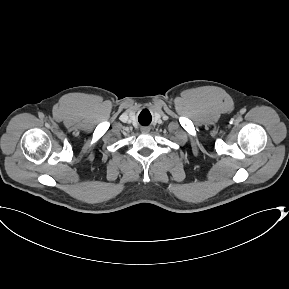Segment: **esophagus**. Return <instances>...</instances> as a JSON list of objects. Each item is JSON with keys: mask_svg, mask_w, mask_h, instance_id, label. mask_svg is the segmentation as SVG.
I'll return each mask as SVG.
<instances>
[{"mask_svg": "<svg viewBox=\"0 0 289 289\" xmlns=\"http://www.w3.org/2000/svg\"><path fill=\"white\" fill-rule=\"evenodd\" d=\"M141 131H142L143 133H148V132L150 131V128H149V127H142V128H141Z\"/></svg>", "mask_w": 289, "mask_h": 289, "instance_id": "34e87169", "label": "esophagus"}]
</instances>
